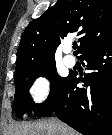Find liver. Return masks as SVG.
<instances>
[{
	"instance_id": "6515ba94",
	"label": "liver",
	"mask_w": 112,
	"mask_h": 135,
	"mask_svg": "<svg viewBox=\"0 0 112 135\" xmlns=\"http://www.w3.org/2000/svg\"><path fill=\"white\" fill-rule=\"evenodd\" d=\"M12 135H78L66 124L52 118L23 124L13 129Z\"/></svg>"
}]
</instances>
